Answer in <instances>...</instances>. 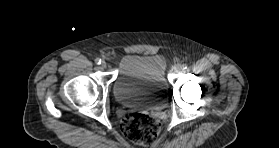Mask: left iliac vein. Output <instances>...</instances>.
Instances as JSON below:
<instances>
[{
    "label": "left iliac vein",
    "mask_w": 279,
    "mask_h": 148,
    "mask_svg": "<svg viewBox=\"0 0 279 148\" xmlns=\"http://www.w3.org/2000/svg\"><path fill=\"white\" fill-rule=\"evenodd\" d=\"M175 73H179L182 70V65L176 64L173 68Z\"/></svg>",
    "instance_id": "1"
}]
</instances>
